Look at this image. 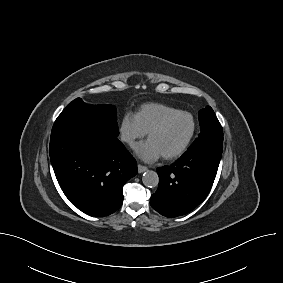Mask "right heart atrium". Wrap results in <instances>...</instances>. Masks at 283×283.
Returning a JSON list of instances; mask_svg holds the SVG:
<instances>
[{"label":"right heart atrium","instance_id":"d8ad5b80","mask_svg":"<svg viewBox=\"0 0 283 283\" xmlns=\"http://www.w3.org/2000/svg\"><path fill=\"white\" fill-rule=\"evenodd\" d=\"M119 133L121 140L132 147L138 140L145 137L147 132L141 126L135 113L126 112L120 120Z\"/></svg>","mask_w":283,"mask_h":283}]
</instances>
